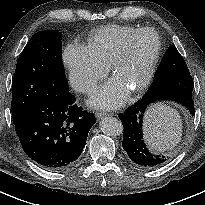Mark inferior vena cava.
I'll return each mask as SVG.
<instances>
[{"label":"inferior vena cava","mask_w":205,"mask_h":205,"mask_svg":"<svg viewBox=\"0 0 205 205\" xmlns=\"http://www.w3.org/2000/svg\"><path fill=\"white\" fill-rule=\"evenodd\" d=\"M93 83H79L76 86V89L80 92H86L93 87Z\"/></svg>","instance_id":"inferior-vena-cava-1"}]
</instances>
